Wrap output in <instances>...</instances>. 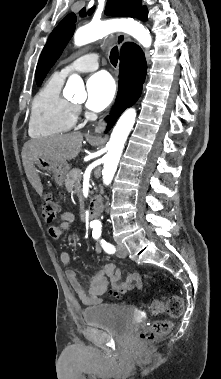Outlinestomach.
<instances>
[{
    "instance_id": "1",
    "label": "stomach",
    "mask_w": 221,
    "mask_h": 379,
    "mask_svg": "<svg viewBox=\"0 0 221 379\" xmlns=\"http://www.w3.org/2000/svg\"><path fill=\"white\" fill-rule=\"evenodd\" d=\"M36 164L40 170L51 173L55 182L59 186L63 185L69 171V165L67 162H56L44 158H38Z\"/></svg>"
}]
</instances>
